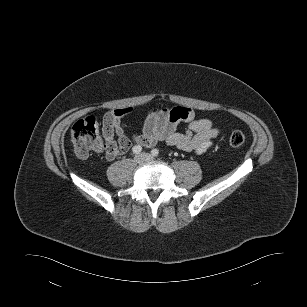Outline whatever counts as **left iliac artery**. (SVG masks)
Returning a JSON list of instances; mask_svg holds the SVG:
<instances>
[{"label":"left iliac artery","mask_w":307,"mask_h":307,"mask_svg":"<svg viewBox=\"0 0 307 307\" xmlns=\"http://www.w3.org/2000/svg\"><path fill=\"white\" fill-rule=\"evenodd\" d=\"M151 153H152L153 156H158L159 155V151L157 149H153L151 151Z\"/></svg>","instance_id":"obj_1"}]
</instances>
